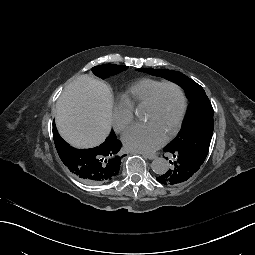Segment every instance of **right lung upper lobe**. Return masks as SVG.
Masks as SVG:
<instances>
[{"label":"right lung upper lobe","instance_id":"1","mask_svg":"<svg viewBox=\"0 0 255 255\" xmlns=\"http://www.w3.org/2000/svg\"><path fill=\"white\" fill-rule=\"evenodd\" d=\"M53 138L59 157L68 169L76 175L81 181L87 184H104L113 180L120 169L121 155L120 148L121 142L117 140L114 132L106 138L100 146L90 149H75L66 143L53 123ZM87 150L91 152H98L100 154V175L98 177H85L83 175V166L79 162V152Z\"/></svg>","mask_w":255,"mask_h":255}]
</instances>
